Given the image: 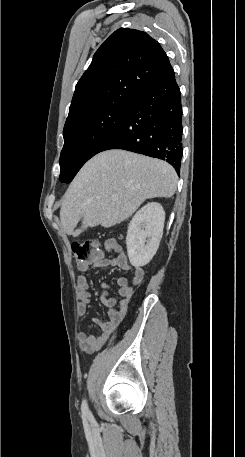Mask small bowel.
<instances>
[{
    "label": "small bowel",
    "mask_w": 245,
    "mask_h": 457,
    "mask_svg": "<svg viewBox=\"0 0 245 457\" xmlns=\"http://www.w3.org/2000/svg\"><path fill=\"white\" fill-rule=\"evenodd\" d=\"M104 248L107 252L116 253L117 256L115 258H106L104 251L100 250L96 257L89 261L79 263L78 269L85 272L96 267L121 268L126 271H131L132 278L130 281L124 277L117 280L118 294L121 297L119 301L115 298L109 297L108 291L110 289V285L107 282H103L101 284L102 293L100 300L108 308L110 320L103 321L97 318L92 319V322L101 329V333L99 335H94L89 331H82L78 333L79 347L85 353H94L98 351L104 344L116 337L118 328L126 316L133 290L139 287L144 279L143 269L130 265L126 252L115 239H107L104 243ZM77 291L79 298L77 312L79 316H84L87 305L92 297L90 285L86 277H78Z\"/></svg>",
    "instance_id": "1"
}]
</instances>
